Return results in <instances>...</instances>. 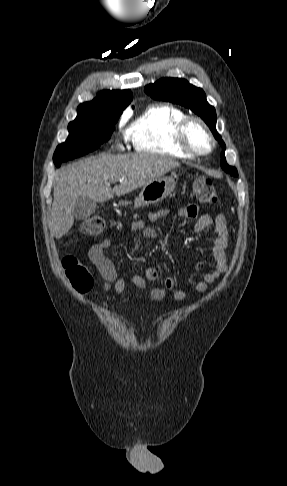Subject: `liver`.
Here are the masks:
<instances>
[{"mask_svg": "<svg viewBox=\"0 0 287 486\" xmlns=\"http://www.w3.org/2000/svg\"><path fill=\"white\" fill-rule=\"evenodd\" d=\"M180 163L155 154H100L66 166L58 171L54 183V200L49 222L50 233L60 239L74 223L73 207L83 196L105 202L142 187ZM119 180L113 189L111 183Z\"/></svg>", "mask_w": 287, "mask_h": 486, "instance_id": "6515ba94", "label": "liver"}]
</instances>
